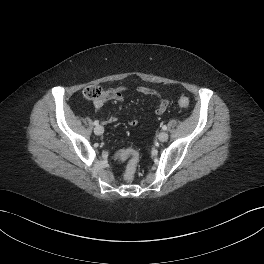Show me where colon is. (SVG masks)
<instances>
[{
  "mask_svg": "<svg viewBox=\"0 0 264 264\" xmlns=\"http://www.w3.org/2000/svg\"><path fill=\"white\" fill-rule=\"evenodd\" d=\"M83 95L87 100L95 101L103 97L104 90L99 86L92 85L84 89ZM178 104L182 108H187L190 104V100L187 97L182 96L178 99ZM119 156L128 161L125 171V179L127 181H132L136 174L139 153L135 149L128 148L121 150Z\"/></svg>",
  "mask_w": 264,
  "mask_h": 264,
  "instance_id": "5ec220e1",
  "label": "colon"
}]
</instances>
